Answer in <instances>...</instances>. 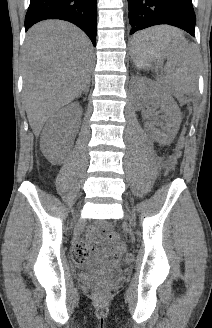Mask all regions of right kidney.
Listing matches in <instances>:
<instances>
[{"label": "right kidney", "instance_id": "ca27d5eb", "mask_svg": "<svg viewBox=\"0 0 212 328\" xmlns=\"http://www.w3.org/2000/svg\"><path fill=\"white\" fill-rule=\"evenodd\" d=\"M82 108L74 102L51 116L41 136L44 151L56 150L62 142L66 145L76 135L80 127Z\"/></svg>", "mask_w": 212, "mask_h": 328}]
</instances>
